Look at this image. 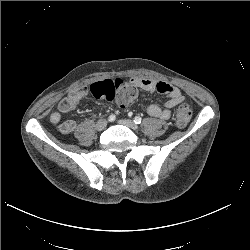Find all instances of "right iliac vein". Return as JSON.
<instances>
[{
    "instance_id": "1",
    "label": "right iliac vein",
    "mask_w": 250,
    "mask_h": 250,
    "mask_svg": "<svg viewBox=\"0 0 250 250\" xmlns=\"http://www.w3.org/2000/svg\"><path fill=\"white\" fill-rule=\"evenodd\" d=\"M106 126H107V120L102 118L97 121L95 128L98 131H102L103 129H105Z\"/></svg>"
}]
</instances>
